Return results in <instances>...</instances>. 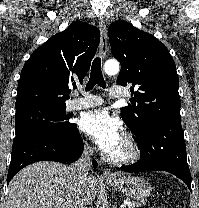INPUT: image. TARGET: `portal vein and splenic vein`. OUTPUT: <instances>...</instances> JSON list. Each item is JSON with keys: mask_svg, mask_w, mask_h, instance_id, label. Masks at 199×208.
I'll return each mask as SVG.
<instances>
[{"mask_svg": "<svg viewBox=\"0 0 199 208\" xmlns=\"http://www.w3.org/2000/svg\"><path fill=\"white\" fill-rule=\"evenodd\" d=\"M120 207L121 208H125L126 207V204H122Z\"/></svg>", "mask_w": 199, "mask_h": 208, "instance_id": "portal-vein-and-splenic-vein-1", "label": "portal vein and splenic vein"}]
</instances>
